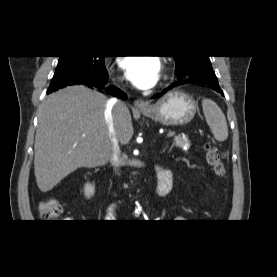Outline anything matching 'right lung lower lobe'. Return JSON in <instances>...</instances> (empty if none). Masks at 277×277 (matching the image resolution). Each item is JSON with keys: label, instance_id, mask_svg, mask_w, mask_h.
Returning <instances> with one entry per match:
<instances>
[{"label": "right lung lower lobe", "instance_id": "98d812e1", "mask_svg": "<svg viewBox=\"0 0 277 277\" xmlns=\"http://www.w3.org/2000/svg\"><path fill=\"white\" fill-rule=\"evenodd\" d=\"M104 83L99 84L97 82H92V81H89V80H82L81 82H77L75 84H85V85H88V86H91V87L102 88L104 86ZM108 91H110L113 95H116L118 97L126 98V94L125 93H123L121 91H118V90L114 89L113 87H110L108 89ZM51 92H53V91H48L47 94H49Z\"/></svg>", "mask_w": 277, "mask_h": 277}]
</instances>
